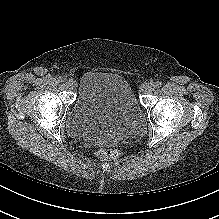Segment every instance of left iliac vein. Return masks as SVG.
<instances>
[{"mask_svg": "<svg viewBox=\"0 0 219 219\" xmlns=\"http://www.w3.org/2000/svg\"><path fill=\"white\" fill-rule=\"evenodd\" d=\"M155 88L154 83L149 82V83H145L141 86V91L143 93H151Z\"/></svg>", "mask_w": 219, "mask_h": 219, "instance_id": "1", "label": "left iliac vein"}]
</instances>
